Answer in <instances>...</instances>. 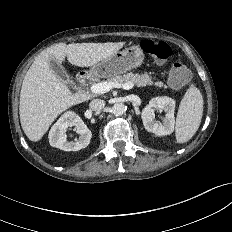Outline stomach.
Here are the masks:
<instances>
[{"label": "stomach", "mask_w": 232, "mask_h": 232, "mask_svg": "<svg viewBox=\"0 0 232 232\" xmlns=\"http://www.w3.org/2000/svg\"><path fill=\"white\" fill-rule=\"evenodd\" d=\"M144 60L142 50L131 45L115 52L111 57L91 66L89 73L98 77H112L139 67Z\"/></svg>", "instance_id": "obj_1"}]
</instances>
